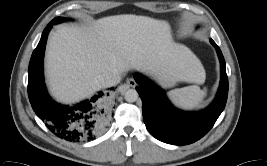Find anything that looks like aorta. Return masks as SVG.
I'll return each instance as SVG.
<instances>
[{
    "instance_id": "762f6f07",
    "label": "aorta",
    "mask_w": 267,
    "mask_h": 166,
    "mask_svg": "<svg viewBox=\"0 0 267 166\" xmlns=\"http://www.w3.org/2000/svg\"><path fill=\"white\" fill-rule=\"evenodd\" d=\"M139 97L138 92L135 89H129L125 92V100L127 102H135Z\"/></svg>"
}]
</instances>
